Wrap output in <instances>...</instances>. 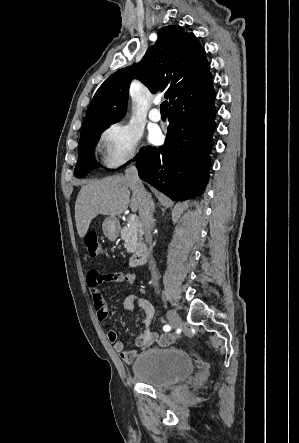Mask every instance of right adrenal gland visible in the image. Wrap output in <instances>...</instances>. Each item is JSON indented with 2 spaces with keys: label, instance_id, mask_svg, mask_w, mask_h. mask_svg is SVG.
Masks as SVG:
<instances>
[{
  "label": "right adrenal gland",
  "instance_id": "obj_1",
  "mask_svg": "<svg viewBox=\"0 0 299 443\" xmlns=\"http://www.w3.org/2000/svg\"><path fill=\"white\" fill-rule=\"evenodd\" d=\"M151 204H152L153 211H155V204H154L153 200H151Z\"/></svg>",
  "mask_w": 299,
  "mask_h": 443
}]
</instances>
